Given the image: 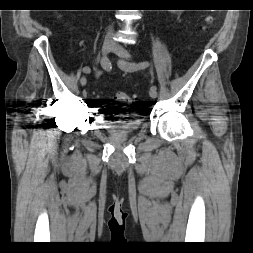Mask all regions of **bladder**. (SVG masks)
Returning <instances> with one entry per match:
<instances>
[{
	"label": "bladder",
	"mask_w": 253,
	"mask_h": 253,
	"mask_svg": "<svg viewBox=\"0 0 253 253\" xmlns=\"http://www.w3.org/2000/svg\"><path fill=\"white\" fill-rule=\"evenodd\" d=\"M110 112L109 116H113V114H118L117 116H121L116 120H104L100 123L99 127L102 129H106L116 133H131L138 130L141 127V119L131 116L122 114L121 112H117L112 109H107Z\"/></svg>",
	"instance_id": "31cf9c89"
}]
</instances>
